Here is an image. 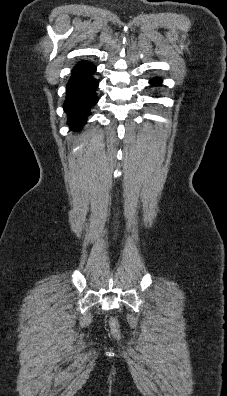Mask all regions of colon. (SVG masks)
Returning <instances> with one entry per match:
<instances>
[{
	"instance_id": "1",
	"label": "colon",
	"mask_w": 227,
	"mask_h": 396,
	"mask_svg": "<svg viewBox=\"0 0 227 396\" xmlns=\"http://www.w3.org/2000/svg\"><path fill=\"white\" fill-rule=\"evenodd\" d=\"M110 330H111V334L115 338H120V336H121L120 325H119V321H118L117 317H115V316L110 318Z\"/></svg>"
}]
</instances>
